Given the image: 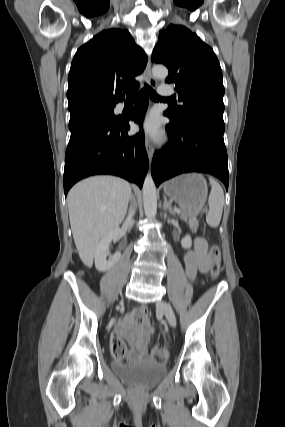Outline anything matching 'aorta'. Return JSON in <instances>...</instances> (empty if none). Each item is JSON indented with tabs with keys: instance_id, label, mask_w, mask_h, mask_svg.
<instances>
[{
	"instance_id": "obj_1",
	"label": "aorta",
	"mask_w": 285,
	"mask_h": 427,
	"mask_svg": "<svg viewBox=\"0 0 285 427\" xmlns=\"http://www.w3.org/2000/svg\"><path fill=\"white\" fill-rule=\"evenodd\" d=\"M152 73L158 79H165L168 76V69L163 65H155ZM142 190L144 212L148 218H153L157 213V192L151 172L147 173Z\"/></svg>"
}]
</instances>
